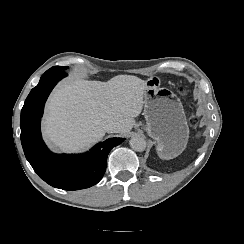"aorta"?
<instances>
[{"mask_svg": "<svg viewBox=\"0 0 244 244\" xmlns=\"http://www.w3.org/2000/svg\"><path fill=\"white\" fill-rule=\"evenodd\" d=\"M130 147L134 151L142 152L146 149L147 143L144 138L140 136H134L129 141Z\"/></svg>", "mask_w": 244, "mask_h": 244, "instance_id": "1", "label": "aorta"}]
</instances>
